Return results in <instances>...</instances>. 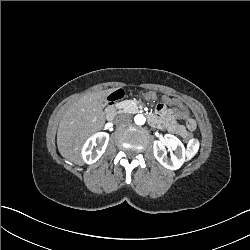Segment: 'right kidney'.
<instances>
[{
	"instance_id": "right-kidney-1",
	"label": "right kidney",
	"mask_w": 250,
	"mask_h": 250,
	"mask_svg": "<svg viewBox=\"0 0 250 250\" xmlns=\"http://www.w3.org/2000/svg\"><path fill=\"white\" fill-rule=\"evenodd\" d=\"M97 140V142H96ZM109 141L107 132H94L84 142L81 148V157L85 164L95 163L104 153ZM95 147V150L92 149Z\"/></svg>"
}]
</instances>
